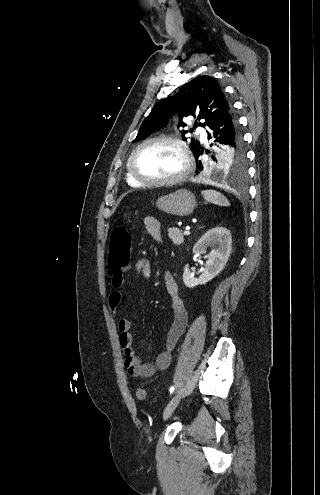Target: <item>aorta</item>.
Segmentation results:
<instances>
[{
	"label": "aorta",
	"mask_w": 320,
	"mask_h": 495,
	"mask_svg": "<svg viewBox=\"0 0 320 495\" xmlns=\"http://www.w3.org/2000/svg\"><path fill=\"white\" fill-rule=\"evenodd\" d=\"M212 178H213V179H217V177H215V176H212Z\"/></svg>",
	"instance_id": "1"
}]
</instances>
